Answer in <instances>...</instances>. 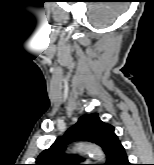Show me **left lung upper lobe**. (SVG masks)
Returning a JSON list of instances; mask_svg holds the SVG:
<instances>
[{
	"mask_svg": "<svg viewBox=\"0 0 154 165\" xmlns=\"http://www.w3.org/2000/svg\"><path fill=\"white\" fill-rule=\"evenodd\" d=\"M84 140L101 146L107 156L104 165H112L122 147L114 133V127L106 124L97 113L84 115L67 132L56 139L49 149L44 150L36 159L35 165H83V159H73L64 152L66 146L74 141Z\"/></svg>",
	"mask_w": 154,
	"mask_h": 165,
	"instance_id": "1",
	"label": "left lung upper lobe"
}]
</instances>
